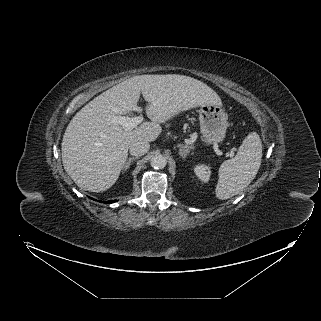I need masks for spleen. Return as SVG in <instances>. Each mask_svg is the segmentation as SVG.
<instances>
[{"mask_svg": "<svg viewBox=\"0 0 321 321\" xmlns=\"http://www.w3.org/2000/svg\"><path fill=\"white\" fill-rule=\"evenodd\" d=\"M261 160V139L256 132H251L243 140L236 156L220 165L216 197L226 200L242 192L255 178Z\"/></svg>", "mask_w": 321, "mask_h": 321, "instance_id": "1", "label": "spleen"}]
</instances>
